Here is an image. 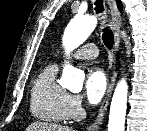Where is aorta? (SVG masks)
Listing matches in <instances>:
<instances>
[{"instance_id": "1", "label": "aorta", "mask_w": 147, "mask_h": 131, "mask_svg": "<svg viewBox=\"0 0 147 131\" xmlns=\"http://www.w3.org/2000/svg\"><path fill=\"white\" fill-rule=\"evenodd\" d=\"M96 25L97 19L94 16H75L68 24L63 37L66 53L79 47L90 36ZM84 78L85 75L82 70L66 64L63 68L60 84L70 91H81ZM127 95L128 85L123 78L117 84L112 97L108 131H124Z\"/></svg>"}]
</instances>
